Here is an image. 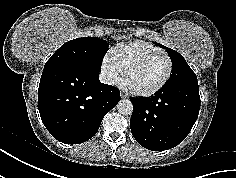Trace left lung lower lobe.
Segmentation results:
<instances>
[{
    "mask_svg": "<svg viewBox=\"0 0 236 178\" xmlns=\"http://www.w3.org/2000/svg\"><path fill=\"white\" fill-rule=\"evenodd\" d=\"M130 127L135 140L153 151L171 149L193 127L200 109L198 83L165 84L151 97L131 98Z\"/></svg>",
    "mask_w": 236,
    "mask_h": 178,
    "instance_id": "1",
    "label": "left lung lower lobe"
}]
</instances>
